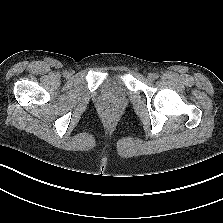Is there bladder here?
Segmentation results:
<instances>
[{
	"instance_id": "bladder-1",
	"label": "bladder",
	"mask_w": 223,
	"mask_h": 223,
	"mask_svg": "<svg viewBox=\"0 0 223 223\" xmlns=\"http://www.w3.org/2000/svg\"><path fill=\"white\" fill-rule=\"evenodd\" d=\"M102 93L106 96L123 97L126 95L122 80L118 77L111 78L102 85Z\"/></svg>"
}]
</instances>
